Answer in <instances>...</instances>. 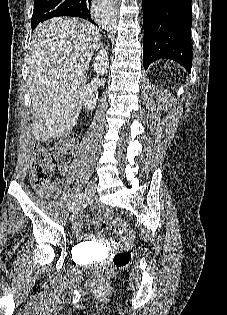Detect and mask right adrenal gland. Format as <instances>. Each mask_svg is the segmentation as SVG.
Wrapping results in <instances>:
<instances>
[{
  "mask_svg": "<svg viewBox=\"0 0 227 315\" xmlns=\"http://www.w3.org/2000/svg\"><path fill=\"white\" fill-rule=\"evenodd\" d=\"M98 48H103V45L99 43Z\"/></svg>",
  "mask_w": 227,
  "mask_h": 315,
  "instance_id": "2a0ac1e0",
  "label": "right adrenal gland"
}]
</instances>
